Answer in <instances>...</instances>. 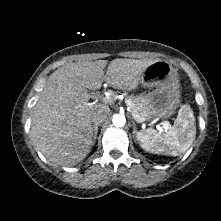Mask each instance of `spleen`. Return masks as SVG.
<instances>
[{
  "instance_id": "3e777b00",
  "label": "spleen",
  "mask_w": 221,
  "mask_h": 221,
  "mask_svg": "<svg viewBox=\"0 0 221 221\" xmlns=\"http://www.w3.org/2000/svg\"><path fill=\"white\" fill-rule=\"evenodd\" d=\"M196 136L193 111L183 105L176 118L174 126L162 134L149 128L137 133V140L141 147L151 153L178 156L186 152Z\"/></svg>"
}]
</instances>
